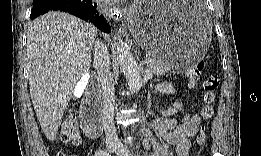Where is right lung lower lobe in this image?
I'll list each match as a JSON object with an SVG mask.
<instances>
[{
	"mask_svg": "<svg viewBox=\"0 0 261 156\" xmlns=\"http://www.w3.org/2000/svg\"><path fill=\"white\" fill-rule=\"evenodd\" d=\"M56 10L68 12L85 21H90L106 33L111 31L104 16L97 11V4L91 0H33L30 18Z\"/></svg>",
	"mask_w": 261,
	"mask_h": 156,
	"instance_id": "98d812e1",
	"label": "right lung lower lobe"
}]
</instances>
